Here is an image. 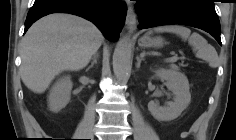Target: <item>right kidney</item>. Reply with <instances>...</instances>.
Returning a JSON list of instances; mask_svg holds the SVG:
<instances>
[{"instance_id":"ca27d5eb","label":"right kidney","mask_w":236,"mask_h":140,"mask_svg":"<svg viewBox=\"0 0 236 140\" xmlns=\"http://www.w3.org/2000/svg\"><path fill=\"white\" fill-rule=\"evenodd\" d=\"M72 81L69 76L60 78L51 88L48 96V107L52 112H58L70 101Z\"/></svg>"}]
</instances>
